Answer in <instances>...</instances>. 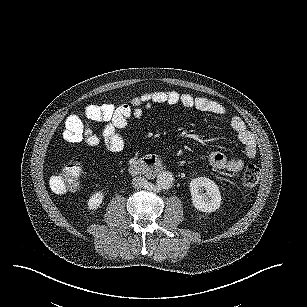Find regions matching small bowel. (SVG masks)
<instances>
[{"instance_id": "1", "label": "small bowel", "mask_w": 307, "mask_h": 307, "mask_svg": "<svg viewBox=\"0 0 307 307\" xmlns=\"http://www.w3.org/2000/svg\"><path fill=\"white\" fill-rule=\"evenodd\" d=\"M154 104H167L170 106H180L185 109H197L217 116H223L227 112L226 108L215 100L177 91L148 92L135 96L130 99L129 103L117 107L112 104H89L83 110L88 111V116L91 119L105 122L102 131L104 144L110 151L119 152L124 148L122 130L127 126L129 120L132 118H143L146 111ZM230 125L243 145L245 158L253 159L257 154L256 141L253 134L239 116L231 117ZM63 139L69 143L82 141V121L80 115L71 114L67 117ZM208 160L210 165L218 170L239 172L244 167L243 159L229 158L220 151L211 152Z\"/></svg>"}]
</instances>
